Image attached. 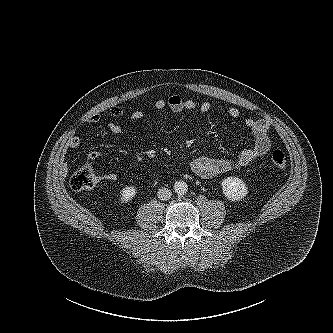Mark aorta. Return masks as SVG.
Segmentation results:
<instances>
[{"instance_id":"1","label":"aorta","mask_w":333,"mask_h":333,"mask_svg":"<svg viewBox=\"0 0 333 333\" xmlns=\"http://www.w3.org/2000/svg\"><path fill=\"white\" fill-rule=\"evenodd\" d=\"M174 191L178 195H184L188 191V185L184 181H176L174 184Z\"/></svg>"}]
</instances>
